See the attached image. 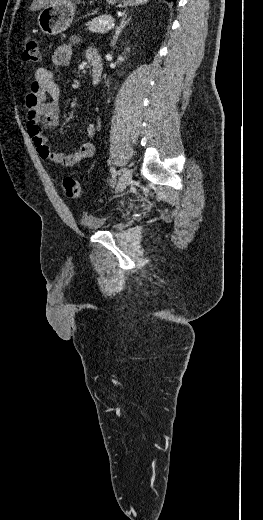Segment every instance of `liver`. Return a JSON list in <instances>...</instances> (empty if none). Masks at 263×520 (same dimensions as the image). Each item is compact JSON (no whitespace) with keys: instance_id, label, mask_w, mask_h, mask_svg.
<instances>
[{"instance_id":"liver-1","label":"liver","mask_w":263,"mask_h":520,"mask_svg":"<svg viewBox=\"0 0 263 520\" xmlns=\"http://www.w3.org/2000/svg\"><path fill=\"white\" fill-rule=\"evenodd\" d=\"M67 1H72V0H33L32 4L30 6V11L34 12L41 8H45L48 5L62 4Z\"/></svg>"}]
</instances>
